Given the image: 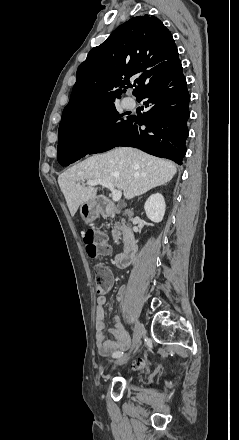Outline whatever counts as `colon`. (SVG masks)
<instances>
[{
	"label": "colon",
	"instance_id": "1",
	"mask_svg": "<svg viewBox=\"0 0 239 440\" xmlns=\"http://www.w3.org/2000/svg\"><path fill=\"white\" fill-rule=\"evenodd\" d=\"M84 242L86 244V251L90 258L96 259L101 256H105L109 253L110 247L107 243V237L105 233L100 229H89L84 234ZM96 271V287L98 292H102L109 282V275L107 269L98 265L95 267ZM146 366L145 361H139L132 365L133 369H141Z\"/></svg>",
	"mask_w": 239,
	"mask_h": 440
}]
</instances>
